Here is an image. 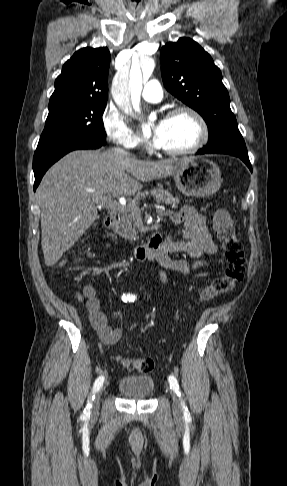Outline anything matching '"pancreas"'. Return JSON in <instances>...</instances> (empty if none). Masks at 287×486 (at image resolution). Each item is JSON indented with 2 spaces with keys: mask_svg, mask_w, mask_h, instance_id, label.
I'll use <instances>...</instances> for the list:
<instances>
[{
  "mask_svg": "<svg viewBox=\"0 0 287 486\" xmlns=\"http://www.w3.org/2000/svg\"><path fill=\"white\" fill-rule=\"evenodd\" d=\"M148 194V191L138 194L134 199L129 201L128 205L119 209V220L115 227V232L121 237L130 241H135L139 238L134 223L135 214L140 213L139 203L141 200L145 199ZM150 195L154 197L158 204L165 203L166 205H172L174 208H176L177 204L180 202L178 197H173L168 191H152L150 192Z\"/></svg>",
  "mask_w": 287,
  "mask_h": 486,
  "instance_id": "1",
  "label": "pancreas"
}]
</instances>
